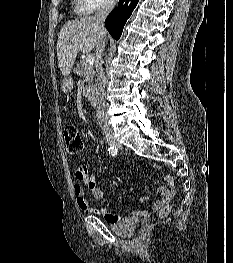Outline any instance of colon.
I'll list each match as a JSON object with an SVG mask.
<instances>
[{
	"label": "colon",
	"instance_id": "colon-1",
	"mask_svg": "<svg viewBox=\"0 0 233 263\" xmlns=\"http://www.w3.org/2000/svg\"><path fill=\"white\" fill-rule=\"evenodd\" d=\"M64 139L66 150L71 155L78 154L83 148V141L79 129L76 126L69 125L64 130ZM170 212V207H163L160 212V217H165Z\"/></svg>",
	"mask_w": 233,
	"mask_h": 263
}]
</instances>
